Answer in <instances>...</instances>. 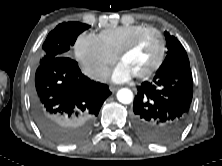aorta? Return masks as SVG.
<instances>
[{
    "instance_id": "aorta-1",
    "label": "aorta",
    "mask_w": 222,
    "mask_h": 166,
    "mask_svg": "<svg viewBox=\"0 0 222 166\" xmlns=\"http://www.w3.org/2000/svg\"><path fill=\"white\" fill-rule=\"evenodd\" d=\"M117 99L123 104H130L133 101V93L128 88H122L117 92Z\"/></svg>"
}]
</instances>
